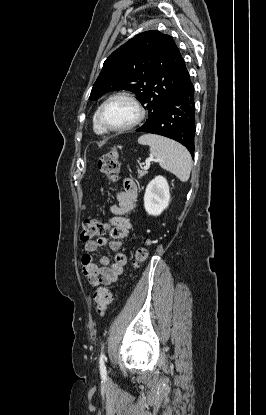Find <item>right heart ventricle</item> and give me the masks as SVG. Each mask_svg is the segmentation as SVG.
Returning <instances> with one entry per match:
<instances>
[{"instance_id": "e07e8e85", "label": "right heart ventricle", "mask_w": 266, "mask_h": 415, "mask_svg": "<svg viewBox=\"0 0 266 415\" xmlns=\"http://www.w3.org/2000/svg\"><path fill=\"white\" fill-rule=\"evenodd\" d=\"M98 112H99V109L95 111L94 116H93V130L96 134L101 135V134H104L106 130H104L103 127L99 123Z\"/></svg>"}]
</instances>
